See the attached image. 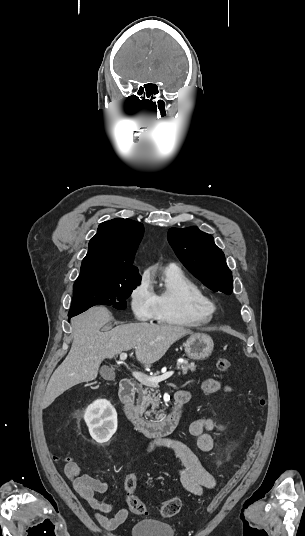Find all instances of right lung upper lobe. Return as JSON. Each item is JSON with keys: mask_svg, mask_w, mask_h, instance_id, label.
I'll list each match as a JSON object with an SVG mask.
<instances>
[{"mask_svg": "<svg viewBox=\"0 0 305 536\" xmlns=\"http://www.w3.org/2000/svg\"><path fill=\"white\" fill-rule=\"evenodd\" d=\"M143 232V225L130 219L101 223L89 242L79 277H141L132 263Z\"/></svg>", "mask_w": 305, "mask_h": 536, "instance_id": "obj_1", "label": "right lung upper lobe"}]
</instances>
